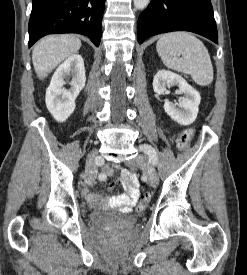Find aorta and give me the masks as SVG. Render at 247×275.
I'll return each instance as SVG.
<instances>
[{
	"instance_id": "aorta-1",
	"label": "aorta",
	"mask_w": 247,
	"mask_h": 275,
	"mask_svg": "<svg viewBox=\"0 0 247 275\" xmlns=\"http://www.w3.org/2000/svg\"><path fill=\"white\" fill-rule=\"evenodd\" d=\"M134 6L139 9H145L147 5L149 4L150 0H133Z\"/></svg>"
}]
</instances>
